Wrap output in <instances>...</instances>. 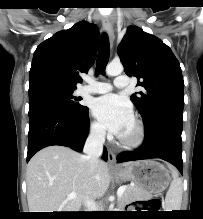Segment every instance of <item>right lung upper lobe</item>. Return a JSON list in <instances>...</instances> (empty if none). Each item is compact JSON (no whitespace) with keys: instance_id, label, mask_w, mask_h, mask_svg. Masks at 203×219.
<instances>
[{"instance_id":"obj_1","label":"right lung upper lobe","mask_w":203,"mask_h":219,"mask_svg":"<svg viewBox=\"0 0 203 219\" xmlns=\"http://www.w3.org/2000/svg\"><path fill=\"white\" fill-rule=\"evenodd\" d=\"M98 38L96 25L86 21L57 32L35 50L29 83L51 80L76 88L82 81L79 73L87 72L95 61Z\"/></svg>"}]
</instances>
